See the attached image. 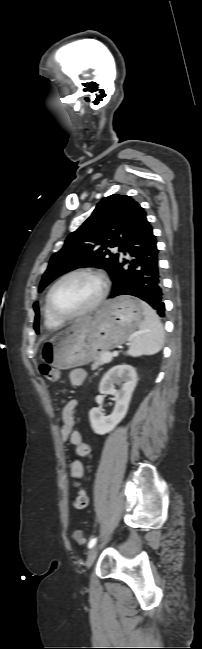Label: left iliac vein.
I'll list each match as a JSON object with an SVG mask.
<instances>
[{
    "label": "left iliac vein",
    "instance_id": "1",
    "mask_svg": "<svg viewBox=\"0 0 202 649\" xmlns=\"http://www.w3.org/2000/svg\"><path fill=\"white\" fill-rule=\"evenodd\" d=\"M98 551H99V546L98 545H94L91 548V550L89 551L87 561H86V567L87 568H90L92 566L93 562L95 561V559L97 557Z\"/></svg>",
    "mask_w": 202,
    "mask_h": 649
}]
</instances>
